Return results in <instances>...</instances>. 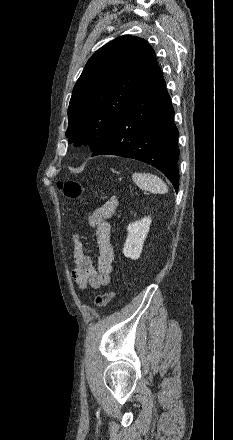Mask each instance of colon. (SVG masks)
Listing matches in <instances>:
<instances>
[{
    "label": "colon",
    "instance_id": "5ec220e1",
    "mask_svg": "<svg viewBox=\"0 0 233 440\" xmlns=\"http://www.w3.org/2000/svg\"><path fill=\"white\" fill-rule=\"evenodd\" d=\"M57 187L60 192L67 198L76 199L84 192L83 185L77 180L59 181ZM115 296V291L110 290L98 295L95 299V306L98 309L104 308Z\"/></svg>",
    "mask_w": 233,
    "mask_h": 440
}]
</instances>
